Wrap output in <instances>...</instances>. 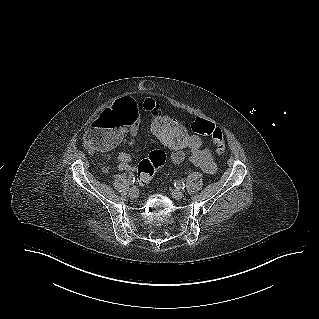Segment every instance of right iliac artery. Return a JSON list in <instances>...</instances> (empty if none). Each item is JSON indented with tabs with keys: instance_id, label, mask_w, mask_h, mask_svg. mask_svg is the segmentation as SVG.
<instances>
[{
	"instance_id": "1",
	"label": "right iliac artery",
	"mask_w": 319,
	"mask_h": 319,
	"mask_svg": "<svg viewBox=\"0 0 319 319\" xmlns=\"http://www.w3.org/2000/svg\"><path fill=\"white\" fill-rule=\"evenodd\" d=\"M135 182V177H134V175L132 174V175H130V177H129V183L130 184H133Z\"/></svg>"
}]
</instances>
